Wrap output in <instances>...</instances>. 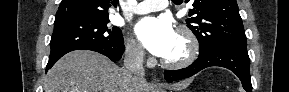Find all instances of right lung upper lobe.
<instances>
[{"mask_svg": "<svg viewBox=\"0 0 289 92\" xmlns=\"http://www.w3.org/2000/svg\"><path fill=\"white\" fill-rule=\"evenodd\" d=\"M118 0H62L55 21L79 18H108V8L116 7Z\"/></svg>", "mask_w": 289, "mask_h": 92, "instance_id": "1", "label": "right lung upper lobe"}]
</instances>
